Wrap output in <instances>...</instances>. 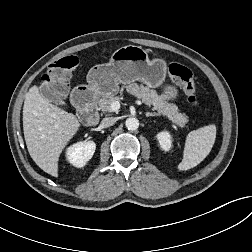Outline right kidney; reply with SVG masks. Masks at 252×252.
<instances>
[{
	"label": "right kidney",
	"instance_id": "1",
	"mask_svg": "<svg viewBox=\"0 0 252 252\" xmlns=\"http://www.w3.org/2000/svg\"><path fill=\"white\" fill-rule=\"evenodd\" d=\"M96 144L93 141L79 142L66 151L67 160L75 167H83L93 156Z\"/></svg>",
	"mask_w": 252,
	"mask_h": 252
}]
</instances>
